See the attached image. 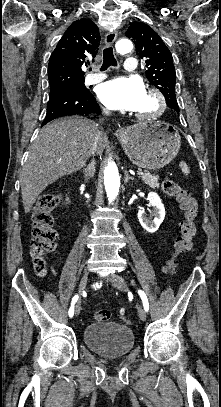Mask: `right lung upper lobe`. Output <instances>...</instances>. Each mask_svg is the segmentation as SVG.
<instances>
[{"mask_svg":"<svg viewBox=\"0 0 221 407\" xmlns=\"http://www.w3.org/2000/svg\"><path fill=\"white\" fill-rule=\"evenodd\" d=\"M100 39L98 27L91 20L73 22L51 54L48 64L50 88L84 81L82 66H87L95 57Z\"/></svg>","mask_w":221,"mask_h":407,"instance_id":"cb5924a9","label":"right lung upper lobe"}]
</instances>
